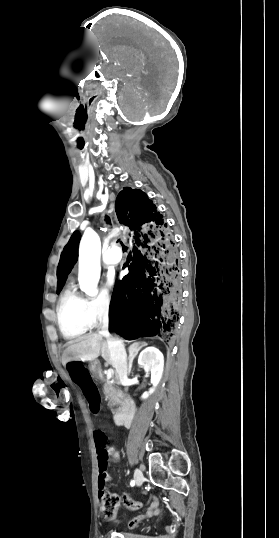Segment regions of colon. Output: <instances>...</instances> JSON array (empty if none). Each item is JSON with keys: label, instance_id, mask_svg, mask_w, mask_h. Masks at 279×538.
<instances>
[{"label": "colon", "instance_id": "colon-1", "mask_svg": "<svg viewBox=\"0 0 279 538\" xmlns=\"http://www.w3.org/2000/svg\"><path fill=\"white\" fill-rule=\"evenodd\" d=\"M93 437L98 453V486L101 512L105 519L112 520L115 517L118 497L112 494L106 486L111 447L109 446L108 437L103 431H95Z\"/></svg>", "mask_w": 279, "mask_h": 538}]
</instances>
